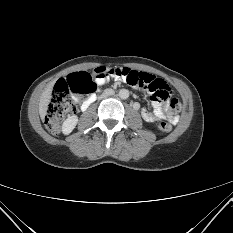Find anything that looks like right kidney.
Segmentation results:
<instances>
[{"label":"right kidney","mask_w":233,"mask_h":233,"mask_svg":"<svg viewBox=\"0 0 233 233\" xmlns=\"http://www.w3.org/2000/svg\"><path fill=\"white\" fill-rule=\"evenodd\" d=\"M78 123V117L76 115L68 117L62 124V131L65 135L72 132Z\"/></svg>","instance_id":"right-kidney-1"}]
</instances>
